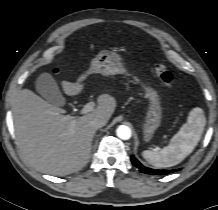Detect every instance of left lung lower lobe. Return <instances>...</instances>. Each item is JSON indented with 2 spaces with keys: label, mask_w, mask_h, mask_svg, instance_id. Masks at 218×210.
<instances>
[{
  "label": "left lung lower lobe",
  "mask_w": 218,
  "mask_h": 210,
  "mask_svg": "<svg viewBox=\"0 0 218 210\" xmlns=\"http://www.w3.org/2000/svg\"><path fill=\"white\" fill-rule=\"evenodd\" d=\"M131 161L135 167H137L142 173L150 175H166L172 173L176 170H154L143 166L134 156H131Z\"/></svg>",
  "instance_id": "0a47b994"
}]
</instances>
